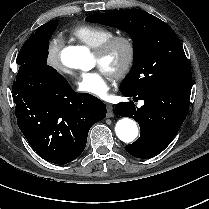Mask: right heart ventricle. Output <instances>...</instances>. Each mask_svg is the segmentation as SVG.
I'll return each instance as SVG.
<instances>
[{"label": "right heart ventricle", "instance_id": "e07e8e85", "mask_svg": "<svg viewBox=\"0 0 209 209\" xmlns=\"http://www.w3.org/2000/svg\"><path fill=\"white\" fill-rule=\"evenodd\" d=\"M70 35L87 45L96 49L113 36V32L103 26L94 24H82L70 31Z\"/></svg>", "mask_w": 209, "mask_h": 209}]
</instances>
